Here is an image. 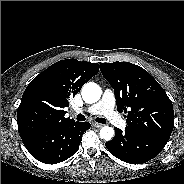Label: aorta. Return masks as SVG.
<instances>
[{"label": "aorta", "mask_w": 184, "mask_h": 184, "mask_svg": "<svg viewBox=\"0 0 184 184\" xmlns=\"http://www.w3.org/2000/svg\"><path fill=\"white\" fill-rule=\"evenodd\" d=\"M102 95L100 86L96 83L89 82L82 88V98L86 103L92 104L97 102ZM100 138L109 141L114 137V129L109 126H104L99 132Z\"/></svg>", "instance_id": "obj_1"}]
</instances>
